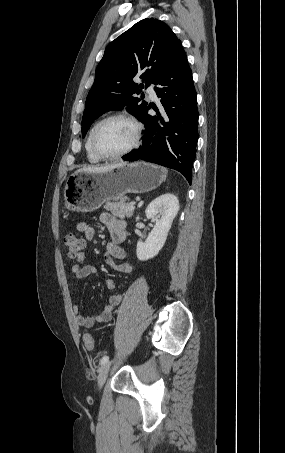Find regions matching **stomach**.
Here are the masks:
<instances>
[{"instance_id": "obj_1", "label": "stomach", "mask_w": 285, "mask_h": 453, "mask_svg": "<svg viewBox=\"0 0 285 453\" xmlns=\"http://www.w3.org/2000/svg\"><path fill=\"white\" fill-rule=\"evenodd\" d=\"M167 170L161 166L134 162L101 172H75L66 182L65 208L92 212L107 201H119L128 193L141 194L156 189Z\"/></svg>"}]
</instances>
